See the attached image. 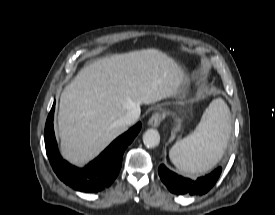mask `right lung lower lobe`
Returning a JSON list of instances; mask_svg holds the SVG:
<instances>
[{"label": "right lung lower lobe", "instance_id": "right-lung-lower-lobe-1", "mask_svg": "<svg viewBox=\"0 0 275 215\" xmlns=\"http://www.w3.org/2000/svg\"><path fill=\"white\" fill-rule=\"evenodd\" d=\"M54 109L55 103L45 125V147L54 172L61 181L78 191L98 192L109 187L120 171L125 149L141 129V123L115 139L87 166L78 168L63 160L58 152L53 129Z\"/></svg>", "mask_w": 275, "mask_h": 215}]
</instances>
